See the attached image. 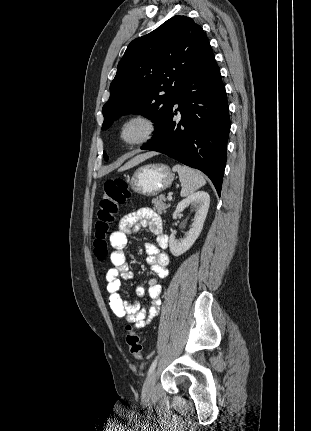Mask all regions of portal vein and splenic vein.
<instances>
[{"mask_svg": "<svg viewBox=\"0 0 311 431\" xmlns=\"http://www.w3.org/2000/svg\"><path fill=\"white\" fill-rule=\"evenodd\" d=\"M167 200H172V196H170V194H168Z\"/></svg>", "mask_w": 311, "mask_h": 431, "instance_id": "18ae733b", "label": "portal vein and splenic vein"}]
</instances>
